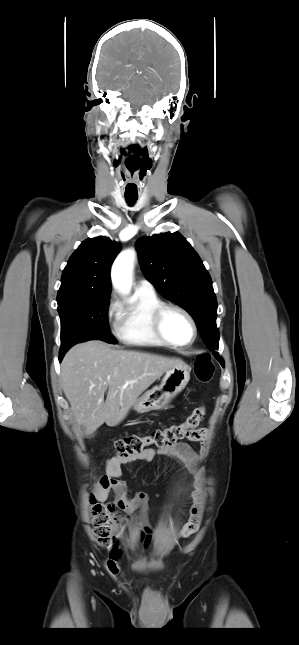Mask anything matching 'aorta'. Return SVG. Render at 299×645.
Segmentation results:
<instances>
[{"label":"aorta","mask_w":299,"mask_h":645,"mask_svg":"<svg viewBox=\"0 0 299 645\" xmlns=\"http://www.w3.org/2000/svg\"><path fill=\"white\" fill-rule=\"evenodd\" d=\"M134 252L126 250L118 255L112 266V282L120 291L129 292L132 285Z\"/></svg>","instance_id":"762f6f07"}]
</instances>
